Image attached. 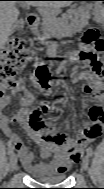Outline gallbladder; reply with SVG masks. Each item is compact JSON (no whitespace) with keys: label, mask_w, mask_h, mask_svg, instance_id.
Returning a JSON list of instances; mask_svg holds the SVG:
<instances>
[{"label":"gallbladder","mask_w":104,"mask_h":189,"mask_svg":"<svg viewBox=\"0 0 104 189\" xmlns=\"http://www.w3.org/2000/svg\"><path fill=\"white\" fill-rule=\"evenodd\" d=\"M19 6H21L22 8H26V9L29 8V7H28L26 4H24V3H20ZM23 24H24V21H23V19H21V20L17 21V23H16V25H15V28H20V29H21V28L23 27Z\"/></svg>","instance_id":"gallbladder-1"}]
</instances>
